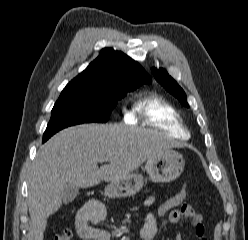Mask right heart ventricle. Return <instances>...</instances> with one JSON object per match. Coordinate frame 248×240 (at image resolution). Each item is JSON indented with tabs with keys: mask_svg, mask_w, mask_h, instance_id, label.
I'll return each instance as SVG.
<instances>
[{
	"mask_svg": "<svg viewBox=\"0 0 248 240\" xmlns=\"http://www.w3.org/2000/svg\"><path fill=\"white\" fill-rule=\"evenodd\" d=\"M130 119L162 129L177 139H187L190 136L175 107L158 96L150 95L137 99L132 106Z\"/></svg>",
	"mask_w": 248,
	"mask_h": 240,
	"instance_id": "1",
	"label": "right heart ventricle"
}]
</instances>
